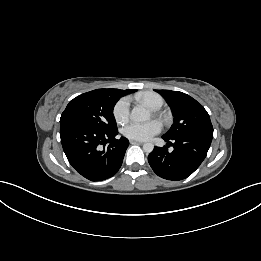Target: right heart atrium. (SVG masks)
Returning a JSON list of instances; mask_svg holds the SVG:
<instances>
[{
  "instance_id": "obj_1",
  "label": "right heart atrium",
  "mask_w": 261,
  "mask_h": 261,
  "mask_svg": "<svg viewBox=\"0 0 261 261\" xmlns=\"http://www.w3.org/2000/svg\"><path fill=\"white\" fill-rule=\"evenodd\" d=\"M130 102L127 97L121 98L113 108V116L117 123L123 124L129 117Z\"/></svg>"
}]
</instances>
